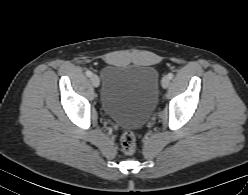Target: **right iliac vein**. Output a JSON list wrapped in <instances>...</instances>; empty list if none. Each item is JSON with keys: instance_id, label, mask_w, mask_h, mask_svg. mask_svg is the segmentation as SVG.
Wrapping results in <instances>:
<instances>
[{"instance_id": "1", "label": "right iliac vein", "mask_w": 248, "mask_h": 195, "mask_svg": "<svg viewBox=\"0 0 248 195\" xmlns=\"http://www.w3.org/2000/svg\"><path fill=\"white\" fill-rule=\"evenodd\" d=\"M90 80H91V83H92V85L94 87H98L99 86L100 80H99V78H98L97 75H92L91 78H90Z\"/></svg>"}]
</instances>
